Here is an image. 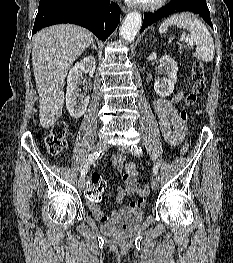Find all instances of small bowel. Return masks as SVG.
Segmentation results:
<instances>
[{
    "instance_id": "small-bowel-1",
    "label": "small bowel",
    "mask_w": 233,
    "mask_h": 263,
    "mask_svg": "<svg viewBox=\"0 0 233 263\" xmlns=\"http://www.w3.org/2000/svg\"><path fill=\"white\" fill-rule=\"evenodd\" d=\"M184 91H180L171 98H157L153 101V109L157 115L160 130L164 139L172 146L183 147L188 134V127L184 123L176 107L183 98ZM113 166L121 173L124 186L117 188V201L122 202L126 196L136 195L138 198L131 201L126 208L141 209L144 207L142 200L143 189L137 183V170L132 163L125 164V155L116 153L112 157ZM129 165L133 170H129ZM92 175V172H91ZM103 174H101L102 176ZM88 190V189H87ZM88 207L93 216L100 222H106L110 217L104 213L98 202H88ZM114 216V214L112 215Z\"/></svg>"
}]
</instances>
